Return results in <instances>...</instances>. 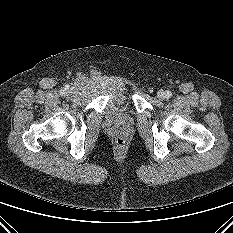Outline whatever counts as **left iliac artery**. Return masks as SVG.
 <instances>
[{"mask_svg": "<svg viewBox=\"0 0 233 233\" xmlns=\"http://www.w3.org/2000/svg\"><path fill=\"white\" fill-rule=\"evenodd\" d=\"M171 96H172L171 91L167 90V91H166V97L169 98V97H171Z\"/></svg>", "mask_w": 233, "mask_h": 233, "instance_id": "1", "label": "left iliac artery"}]
</instances>
